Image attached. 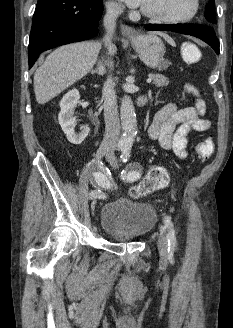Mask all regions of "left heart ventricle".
Returning <instances> with one entry per match:
<instances>
[{"mask_svg": "<svg viewBox=\"0 0 233 328\" xmlns=\"http://www.w3.org/2000/svg\"><path fill=\"white\" fill-rule=\"evenodd\" d=\"M142 8L154 14L177 18L190 12L192 0H145Z\"/></svg>", "mask_w": 233, "mask_h": 328, "instance_id": "1", "label": "left heart ventricle"}]
</instances>
